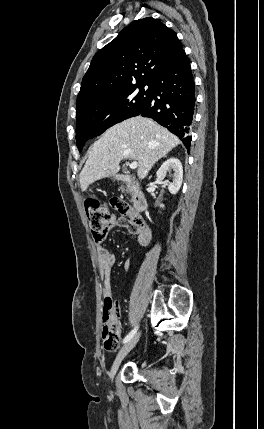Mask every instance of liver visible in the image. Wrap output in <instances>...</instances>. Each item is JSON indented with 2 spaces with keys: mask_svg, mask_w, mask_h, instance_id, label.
I'll return each mask as SVG.
<instances>
[{
  "mask_svg": "<svg viewBox=\"0 0 264 429\" xmlns=\"http://www.w3.org/2000/svg\"><path fill=\"white\" fill-rule=\"evenodd\" d=\"M180 143L178 137L150 118L136 116L109 128L97 140L80 173V187L115 176L123 159L138 161L137 175L144 179L153 165Z\"/></svg>",
  "mask_w": 264,
  "mask_h": 429,
  "instance_id": "1",
  "label": "liver"
}]
</instances>
